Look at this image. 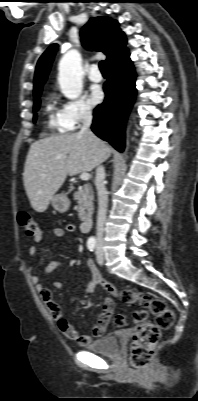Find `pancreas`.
Returning a JSON list of instances; mask_svg holds the SVG:
<instances>
[{"instance_id":"obj_1","label":"pancreas","mask_w":198,"mask_h":401,"mask_svg":"<svg viewBox=\"0 0 198 401\" xmlns=\"http://www.w3.org/2000/svg\"><path fill=\"white\" fill-rule=\"evenodd\" d=\"M74 200L78 204V216L84 221L87 216L92 215L94 194L92 187L88 184L80 186L78 191L73 194Z\"/></svg>"}]
</instances>
